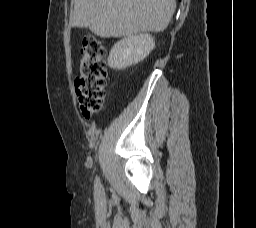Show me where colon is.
I'll return each mask as SVG.
<instances>
[{
	"instance_id": "obj_1",
	"label": "colon",
	"mask_w": 256,
	"mask_h": 228,
	"mask_svg": "<svg viewBox=\"0 0 256 228\" xmlns=\"http://www.w3.org/2000/svg\"><path fill=\"white\" fill-rule=\"evenodd\" d=\"M105 47L92 35L83 39L75 92L83 117L89 119L99 112L106 95Z\"/></svg>"
}]
</instances>
